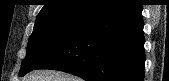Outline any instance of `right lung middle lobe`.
Returning <instances> with one entry per match:
<instances>
[{
	"instance_id": "obj_1",
	"label": "right lung middle lobe",
	"mask_w": 169,
	"mask_h": 81,
	"mask_svg": "<svg viewBox=\"0 0 169 81\" xmlns=\"http://www.w3.org/2000/svg\"><path fill=\"white\" fill-rule=\"evenodd\" d=\"M88 19L64 15L36 20L27 46V54L20 69V76L36 69L66 41Z\"/></svg>"
}]
</instances>
